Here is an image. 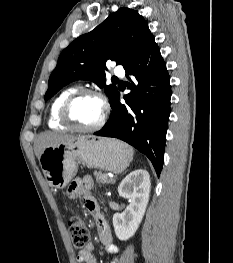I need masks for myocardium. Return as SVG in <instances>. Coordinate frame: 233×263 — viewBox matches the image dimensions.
<instances>
[{"mask_svg": "<svg viewBox=\"0 0 233 263\" xmlns=\"http://www.w3.org/2000/svg\"><path fill=\"white\" fill-rule=\"evenodd\" d=\"M84 97H93V98L98 99L101 102L102 108H103L100 120L91 127H83V126L78 125L71 116V109L74 103ZM108 110L109 108H108L107 100L101 93L94 91V90H89V89L78 90L72 93L71 95H69L65 99L63 104L61 105L60 120L66 126L74 129L77 132L93 133V132L100 130L104 126L107 115H108Z\"/></svg>", "mask_w": 233, "mask_h": 263, "instance_id": "f54148a6", "label": "myocardium"}]
</instances>
